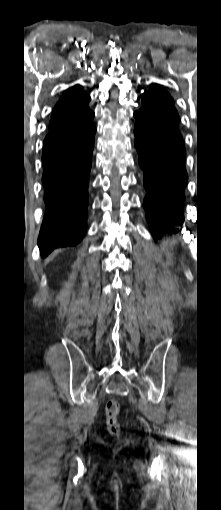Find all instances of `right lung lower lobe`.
<instances>
[{
    "mask_svg": "<svg viewBox=\"0 0 221 510\" xmlns=\"http://www.w3.org/2000/svg\"><path fill=\"white\" fill-rule=\"evenodd\" d=\"M84 127L43 142L42 183L46 213L38 246L42 257L56 248L77 245L86 231L88 184L96 128Z\"/></svg>",
    "mask_w": 221,
    "mask_h": 510,
    "instance_id": "1",
    "label": "right lung lower lobe"
}]
</instances>
